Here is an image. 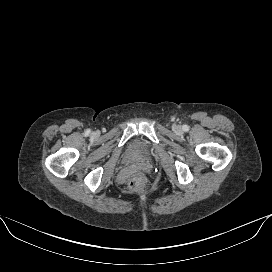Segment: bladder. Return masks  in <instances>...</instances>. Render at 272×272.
<instances>
[{
    "instance_id": "1",
    "label": "bladder",
    "mask_w": 272,
    "mask_h": 272,
    "mask_svg": "<svg viewBox=\"0 0 272 272\" xmlns=\"http://www.w3.org/2000/svg\"><path fill=\"white\" fill-rule=\"evenodd\" d=\"M152 145L144 138H133L125 149V159L128 163L147 161L153 156Z\"/></svg>"
}]
</instances>
